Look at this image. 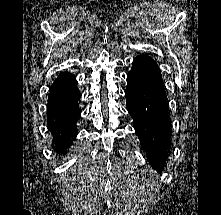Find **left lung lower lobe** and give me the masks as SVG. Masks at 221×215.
<instances>
[{"instance_id":"0a47b994","label":"left lung lower lobe","mask_w":221,"mask_h":215,"mask_svg":"<svg viewBox=\"0 0 221 215\" xmlns=\"http://www.w3.org/2000/svg\"><path fill=\"white\" fill-rule=\"evenodd\" d=\"M127 110L150 164L161 170L168 157L170 123L161 71L147 55L137 56L127 75Z\"/></svg>"}]
</instances>
